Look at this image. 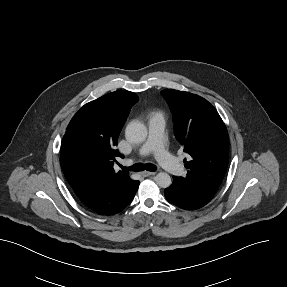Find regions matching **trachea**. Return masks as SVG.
<instances>
[{
  "instance_id": "3493384b",
  "label": "trachea",
  "mask_w": 287,
  "mask_h": 287,
  "mask_svg": "<svg viewBox=\"0 0 287 287\" xmlns=\"http://www.w3.org/2000/svg\"><path fill=\"white\" fill-rule=\"evenodd\" d=\"M121 168L126 171H134V172H139V171H144V170L154 172L156 170V166L151 163H147V164L137 163L130 167L121 166Z\"/></svg>"
}]
</instances>
